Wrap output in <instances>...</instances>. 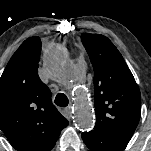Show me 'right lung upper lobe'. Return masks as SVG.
<instances>
[{
  "label": "right lung upper lobe",
  "mask_w": 151,
  "mask_h": 151,
  "mask_svg": "<svg viewBox=\"0 0 151 151\" xmlns=\"http://www.w3.org/2000/svg\"><path fill=\"white\" fill-rule=\"evenodd\" d=\"M39 37L26 39L0 78V130L17 151H50L68 121L38 76Z\"/></svg>",
  "instance_id": "1"
}]
</instances>
